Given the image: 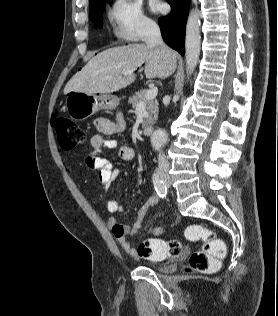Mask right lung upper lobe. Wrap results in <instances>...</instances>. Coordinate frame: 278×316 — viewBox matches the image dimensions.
Wrapping results in <instances>:
<instances>
[{"mask_svg":"<svg viewBox=\"0 0 278 316\" xmlns=\"http://www.w3.org/2000/svg\"><path fill=\"white\" fill-rule=\"evenodd\" d=\"M105 0H89V8H93L94 6L98 5L100 2Z\"/></svg>","mask_w":278,"mask_h":316,"instance_id":"right-lung-upper-lobe-1","label":"right lung upper lobe"}]
</instances>
